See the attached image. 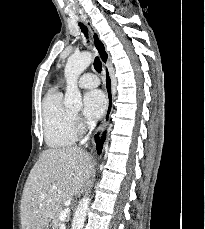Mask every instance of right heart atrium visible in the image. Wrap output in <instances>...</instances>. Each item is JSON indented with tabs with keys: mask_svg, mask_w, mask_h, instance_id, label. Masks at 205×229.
Returning a JSON list of instances; mask_svg holds the SVG:
<instances>
[{
	"mask_svg": "<svg viewBox=\"0 0 205 229\" xmlns=\"http://www.w3.org/2000/svg\"><path fill=\"white\" fill-rule=\"evenodd\" d=\"M75 121H76V123H82L81 118H80V117H78V116H76V117H75Z\"/></svg>",
	"mask_w": 205,
	"mask_h": 229,
	"instance_id": "obj_1",
	"label": "right heart atrium"
}]
</instances>
